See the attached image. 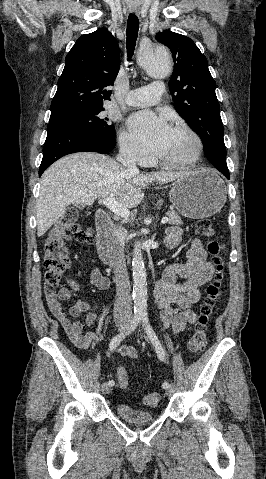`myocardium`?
Returning a JSON list of instances; mask_svg holds the SVG:
<instances>
[{
  "label": "myocardium",
  "mask_w": 266,
  "mask_h": 479,
  "mask_svg": "<svg viewBox=\"0 0 266 479\" xmlns=\"http://www.w3.org/2000/svg\"><path fill=\"white\" fill-rule=\"evenodd\" d=\"M175 131L184 132L188 134L193 141V148L189 156L177 161H166L161 158L157 160L159 165L167 169H186L194 166L201 157L203 151V142L200 136L187 125H177L174 127Z\"/></svg>",
  "instance_id": "f54148a6"
}]
</instances>
